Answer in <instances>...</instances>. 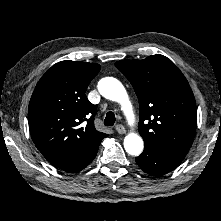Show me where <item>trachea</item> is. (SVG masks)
<instances>
[{"label":"trachea","instance_id":"obj_1","mask_svg":"<svg viewBox=\"0 0 221 221\" xmlns=\"http://www.w3.org/2000/svg\"><path fill=\"white\" fill-rule=\"evenodd\" d=\"M115 120H116L115 114L110 111V112H108L106 114V117L104 119V125H106V126H113L114 123H115Z\"/></svg>","mask_w":221,"mask_h":221}]
</instances>
